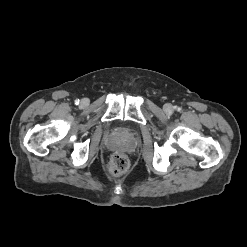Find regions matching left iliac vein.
Here are the masks:
<instances>
[{
	"label": "left iliac vein",
	"instance_id": "left-iliac-vein-1",
	"mask_svg": "<svg viewBox=\"0 0 247 247\" xmlns=\"http://www.w3.org/2000/svg\"><path fill=\"white\" fill-rule=\"evenodd\" d=\"M164 111L167 113H171L173 111V108L170 104H165L164 105Z\"/></svg>",
	"mask_w": 247,
	"mask_h": 247
}]
</instances>
